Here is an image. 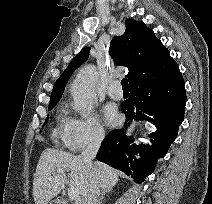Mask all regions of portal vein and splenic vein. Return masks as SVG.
I'll use <instances>...</instances> for the list:
<instances>
[{
  "mask_svg": "<svg viewBox=\"0 0 212 204\" xmlns=\"http://www.w3.org/2000/svg\"><path fill=\"white\" fill-rule=\"evenodd\" d=\"M58 174H64V171L62 169H57ZM68 197L71 200H77L79 198V192L75 188H70L68 190Z\"/></svg>",
  "mask_w": 212,
  "mask_h": 204,
  "instance_id": "obj_1",
  "label": "portal vein and splenic vein"
}]
</instances>
